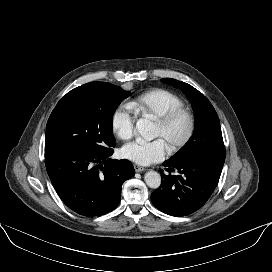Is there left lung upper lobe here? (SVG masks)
I'll return each instance as SVG.
<instances>
[{"label":"left lung upper lobe","mask_w":272,"mask_h":272,"mask_svg":"<svg viewBox=\"0 0 272 272\" xmlns=\"http://www.w3.org/2000/svg\"><path fill=\"white\" fill-rule=\"evenodd\" d=\"M162 82L180 88L192 103L195 115V129L190 140L170 159L180 160L192 157L202 162L223 166L225 147L220 121L210 101L191 85L172 78Z\"/></svg>","instance_id":"5c2ea615"}]
</instances>
